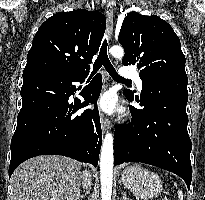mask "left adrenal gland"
Returning <instances> with one entry per match:
<instances>
[{
  "instance_id": "1",
  "label": "left adrenal gland",
  "mask_w": 205,
  "mask_h": 200,
  "mask_svg": "<svg viewBox=\"0 0 205 200\" xmlns=\"http://www.w3.org/2000/svg\"><path fill=\"white\" fill-rule=\"evenodd\" d=\"M122 200H129V198H127L126 192L122 193Z\"/></svg>"
}]
</instances>
